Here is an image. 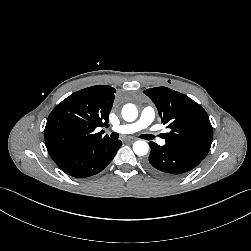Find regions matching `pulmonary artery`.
<instances>
[{"instance_id": "e3ab8cb5", "label": "pulmonary artery", "mask_w": 251, "mask_h": 251, "mask_svg": "<svg viewBox=\"0 0 251 251\" xmlns=\"http://www.w3.org/2000/svg\"><path fill=\"white\" fill-rule=\"evenodd\" d=\"M154 118L155 110L151 106H147L142 109L139 118L135 122L114 127L112 128V131L121 134H131L140 130H145L149 135H152L157 139L160 144H164V140L157 137V134L151 126Z\"/></svg>"}]
</instances>
